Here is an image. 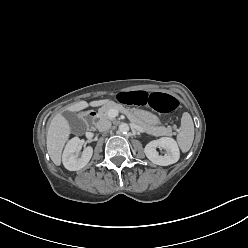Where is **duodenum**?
I'll use <instances>...</instances> for the list:
<instances>
[{
  "label": "duodenum",
  "mask_w": 248,
  "mask_h": 248,
  "mask_svg": "<svg viewBox=\"0 0 248 248\" xmlns=\"http://www.w3.org/2000/svg\"><path fill=\"white\" fill-rule=\"evenodd\" d=\"M96 117H97V111L95 109L89 110L85 115V119L89 122L94 120ZM91 129H94V127L92 126Z\"/></svg>",
  "instance_id": "obj_1"
}]
</instances>
